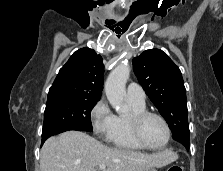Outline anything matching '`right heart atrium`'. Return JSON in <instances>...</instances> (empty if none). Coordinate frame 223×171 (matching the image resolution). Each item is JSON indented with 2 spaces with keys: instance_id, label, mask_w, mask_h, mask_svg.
<instances>
[{
  "instance_id": "d8ad5b80",
  "label": "right heart atrium",
  "mask_w": 223,
  "mask_h": 171,
  "mask_svg": "<svg viewBox=\"0 0 223 171\" xmlns=\"http://www.w3.org/2000/svg\"><path fill=\"white\" fill-rule=\"evenodd\" d=\"M115 115L105 99H100L91 109L90 121L94 133L107 139L114 126Z\"/></svg>"
}]
</instances>
